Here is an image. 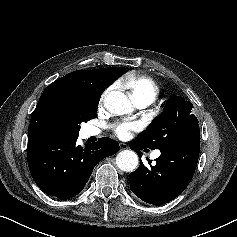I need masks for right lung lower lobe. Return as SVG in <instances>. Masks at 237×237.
Returning a JSON list of instances; mask_svg holds the SVG:
<instances>
[{
	"instance_id": "right-lung-lower-lobe-1",
	"label": "right lung lower lobe",
	"mask_w": 237,
	"mask_h": 237,
	"mask_svg": "<svg viewBox=\"0 0 237 237\" xmlns=\"http://www.w3.org/2000/svg\"><path fill=\"white\" fill-rule=\"evenodd\" d=\"M78 135L48 137L28 144L27 160L31 175L46 194L68 199L81 192L94 167L119 151L111 138L81 147Z\"/></svg>"
}]
</instances>
